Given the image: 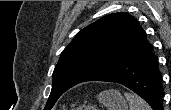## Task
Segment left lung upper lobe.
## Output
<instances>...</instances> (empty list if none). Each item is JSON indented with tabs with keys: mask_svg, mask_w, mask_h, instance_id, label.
Here are the masks:
<instances>
[{
	"mask_svg": "<svg viewBox=\"0 0 171 110\" xmlns=\"http://www.w3.org/2000/svg\"><path fill=\"white\" fill-rule=\"evenodd\" d=\"M145 39L137 19L124 12L109 14L79 31L61 53L44 110H50L71 87L122 62Z\"/></svg>",
	"mask_w": 171,
	"mask_h": 110,
	"instance_id": "left-lung-upper-lobe-1",
	"label": "left lung upper lobe"
}]
</instances>
